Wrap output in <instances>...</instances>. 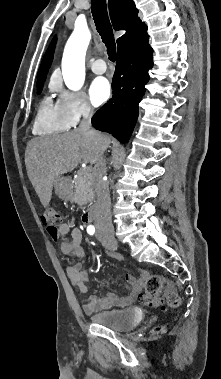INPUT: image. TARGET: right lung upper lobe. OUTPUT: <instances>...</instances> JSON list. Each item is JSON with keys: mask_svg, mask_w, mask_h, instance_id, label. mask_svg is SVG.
I'll return each mask as SVG.
<instances>
[{"mask_svg": "<svg viewBox=\"0 0 221 379\" xmlns=\"http://www.w3.org/2000/svg\"><path fill=\"white\" fill-rule=\"evenodd\" d=\"M110 17L115 30H127L126 33L117 39V46L125 44L134 36L147 28L137 14L133 0H109ZM55 39L50 44L37 74V86H43L48 69L53 59Z\"/></svg>", "mask_w": 221, "mask_h": 379, "instance_id": "right-lung-upper-lobe-1", "label": "right lung upper lobe"}]
</instances>
